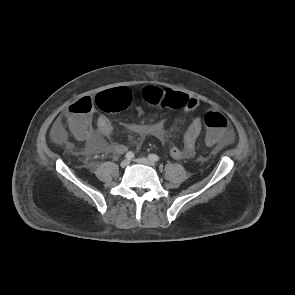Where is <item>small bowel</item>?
Segmentation results:
<instances>
[{"instance_id":"1","label":"small bowel","mask_w":295,"mask_h":295,"mask_svg":"<svg viewBox=\"0 0 295 295\" xmlns=\"http://www.w3.org/2000/svg\"><path fill=\"white\" fill-rule=\"evenodd\" d=\"M200 108V101L194 97L188 96V101L183 107L186 116L191 117V122L186 129L182 146H173L170 148V155L174 159H190L195 155V144L199 137L203 122L202 118L195 113ZM167 119L162 118L148 123H126L124 126L129 131L139 135H150L160 140L166 136ZM75 136L86 143L87 150L92 154L109 153L119 155L127 150V147L118 142L109 141L113 126L105 115H99L96 119V127H92V117L89 113L78 123L77 128H71ZM52 137L58 143L65 142L64 130L61 123L56 122L52 128Z\"/></svg>"}]
</instances>
